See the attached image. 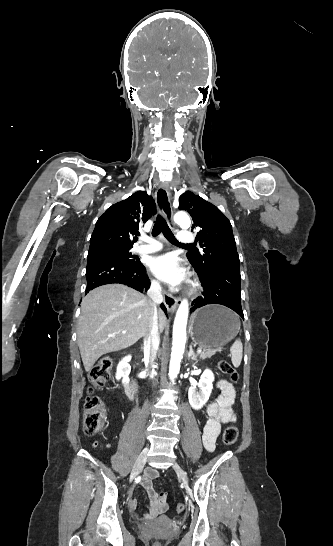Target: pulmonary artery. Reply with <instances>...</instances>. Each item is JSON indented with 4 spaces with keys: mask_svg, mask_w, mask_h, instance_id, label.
I'll use <instances>...</instances> for the list:
<instances>
[{
    "mask_svg": "<svg viewBox=\"0 0 333 546\" xmlns=\"http://www.w3.org/2000/svg\"><path fill=\"white\" fill-rule=\"evenodd\" d=\"M178 240L181 244H187L194 242L195 237L189 231H180L178 233ZM161 248L162 245L158 241L153 239H146L145 244H141L136 247V251L142 254H149L157 252L161 250Z\"/></svg>",
    "mask_w": 333,
    "mask_h": 546,
    "instance_id": "obj_1",
    "label": "pulmonary artery"
}]
</instances>
